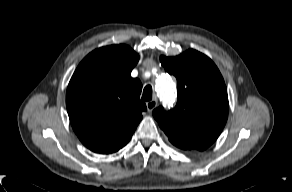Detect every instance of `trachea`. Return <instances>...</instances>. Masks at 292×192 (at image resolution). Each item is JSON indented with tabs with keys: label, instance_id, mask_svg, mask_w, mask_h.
<instances>
[{
	"label": "trachea",
	"instance_id": "1",
	"mask_svg": "<svg viewBox=\"0 0 292 192\" xmlns=\"http://www.w3.org/2000/svg\"><path fill=\"white\" fill-rule=\"evenodd\" d=\"M152 99V87L147 85L143 90L142 100L150 101Z\"/></svg>",
	"mask_w": 292,
	"mask_h": 192
}]
</instances>
